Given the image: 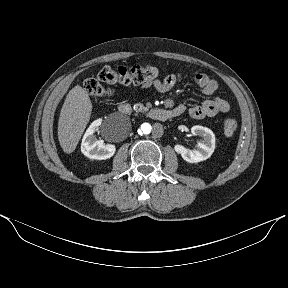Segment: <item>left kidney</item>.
<instances>
[{"instance_id": "obj_1", "label": "left kidney", "mask_w": 288, "mask_h": 288, "mask_svg": "<svg viewBox=\"0 0 288 288\" xmlns=\"http://www.w3.org/2000/svg\"><path fill=\"white\" fill-rule=\"evenodd\" d=\"M193 136H199L200 142L197 143L196 149L189 150L182 145L176 144L175 151L182 156V158L189 163H198L208 159L215 149V135L207 127L193 126L191 128Z\"/></svg>"}]
</instances>
